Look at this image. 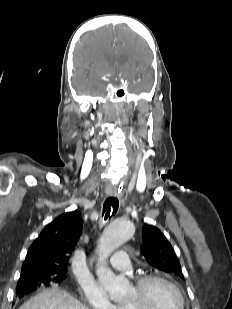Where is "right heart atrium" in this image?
<instances>
[{
  "label": "right heart atrium",
  "instance_id": "obj_1",
  "mask_svg": "<svg viewBox=\"0 0 232 309\" xmlns=\"http://www.w3.org/2000/svg\"><path fill=\"white\" fill-rule=\"evenodd\" d=\"M82 295L87 306L92 309H117V305L109 299L106 292L95 284L83 286Z\"/></svg>",
  "mask_w": 232,
  "mask_h": 309
}]
</instances>
